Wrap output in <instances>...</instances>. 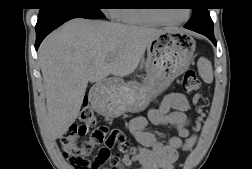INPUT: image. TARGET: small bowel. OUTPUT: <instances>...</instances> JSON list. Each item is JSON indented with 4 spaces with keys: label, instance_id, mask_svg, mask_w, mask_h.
Returning <instances> with one entry per match:
<instances>
[{
    "label": "small bowel",
    "instance_id": "obj_1",
    "mask_svg": "<svg viewBox=\"0 0 252 169\" xmlns=\"http://www.w3.org/2000/svg\"><path fill=\"white\" fill-rule=\"evenodd\" d=\"M189 101L185 94L170 93L162 97L159 106L150 108L147 116H135L129 124L130 132L141 145L133 160L124 155L118 162L116 169H127L132 161L138 164V169H174L178 159L179 149L189 150L195 143V136L188 129L189 118L186 111ZM172 126L176 134L169 138L167 144L159 141L147 130L149 124ZM183 140H185L183 142ZM101 141L92 135V145Z\"/></svg>",
    "mask_w": 252,
    "mask_h": 169
}]
</instances>
